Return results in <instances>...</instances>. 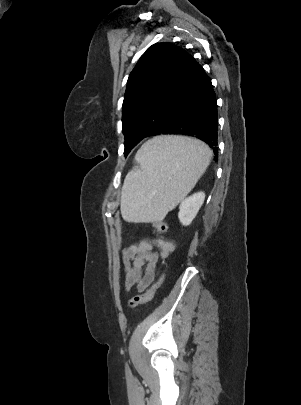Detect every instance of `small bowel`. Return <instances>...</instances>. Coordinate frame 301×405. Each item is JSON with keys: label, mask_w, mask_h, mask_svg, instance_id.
<instances>
[{"label": "small bowel", "mask_w": 301, "mask_h": 405, "mask_svg": "<svg viewBox=\"0 0 301 405\" xmlns=\"http://www.w3.org/2000/svg\"><path fill=\"white\" fill-rule=\"evenodd\" d=\"M154 248L157 250L154 251ZM172 241L164 238L143 239L122 251L123 263L127 268L124 284L126 291L136 288L144 291L154 280L159 259L167 258L174 251Z\"/></svg>", "instance_id": "obj_1"}]
</instances>
